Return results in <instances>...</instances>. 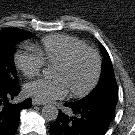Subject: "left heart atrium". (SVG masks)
<instances>
[{"instance_id":"left-heart-atrium-1","label":"left heart atrium","mask_w":135,"mask_h":135,"mask_svg":"<svg viewBox=\"0 0 135 135\" xmlns=\"http://www.w3.org/2000/svg\"><path fill=\"white\" fill-rule=\"evenodd\" d=\"M26 91L41 102H49L63 98L67 94L68 88L62 79L54 78L40 79L29 83L26 86Z\"/></svg>"}]
</instances>
